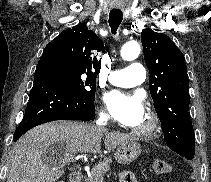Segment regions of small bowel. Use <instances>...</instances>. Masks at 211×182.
<instances>
[{"label": "small bowel", "mask_w": 211, "mask_h": 182, "mask_svg": "<svg viewBox=\"0 0 211 182\" xmlns=\"http://www.w3.org/2000/svg\"><path fill=\"white\" fill-rule=\"evenodd\" d=\"M120 182H137L134 175L129 171L120 174Z\"/></svg>", "instance_id": "small-bowel-1"}]
</instances>
